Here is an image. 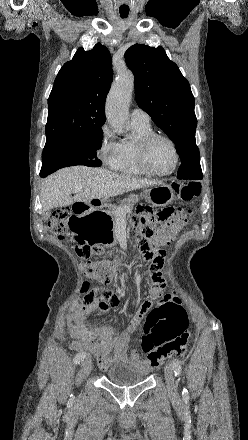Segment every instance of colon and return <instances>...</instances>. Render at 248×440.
I'll use <instances>...</instances> for the list:
<instances>
[{
  "instance_id": "colon-1",
  "label": "colon",
  "mask_w": 248,
  "mask_h": 440,
  "mask_svg": "<svg viewBox=\"0 0 248 440\" xmlns=\"http://www.w3.org/2000/svg\"><path fill=\"white\" fill-rule=\"evenodd\" d=\"M174 189L186 206L165 208L156 213L142 207L138 209L135 220L140 231L138 244L147 259L161 257L164 260L166 252L163 248L170 244L183 225L191 219L193 209L188 204L199 196L201 190L198 182L175 183ZM70 218H79L76 209H57L49 221V227L62 238L70 231ZM153 223H158L159 227L154 229ZM76 253L85 260L82 270L86 275L102 283L109 282L114 276L116 264L106 258L102 247L84 246L83 241H80ZM82 292L80 306L84 309L93 307L101 299L110 300L114 297L113 292L107 289L89 290L88 283L83 284ZM190 337L191 331L182 306L174 301L169 304L162 302L154 306L146 317L141 346L151 364L157 366L170 355L185 353Z\"/></svg>"
}]
</instances>
